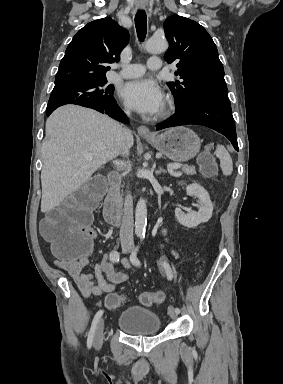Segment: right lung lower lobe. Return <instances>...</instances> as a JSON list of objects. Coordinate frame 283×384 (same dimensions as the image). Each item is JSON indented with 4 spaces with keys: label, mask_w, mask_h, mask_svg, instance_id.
<instances>
[{
    "label": "right lung lower lobe",
    "mask_w": 283,
    "mask_h": 384,
    "mask_svg": "<svg viewBox=\"0 0 283 384\" xmlns=\"http://www.w3.org/2000/svg\"><path fill=\"white\" fill-rule=\"evenodd\" d=\"M79 105L95 109L101 113H105L118 121H122V122L127 121V118L124 112L120 109L115 99H111L108 101H101V102H88V103H82ZM56 108L57 107L55 108L47 107L46 109L47 116H49Z\"/></svg>",
    "instance_id": "98d812e1"
}]
</instances>
